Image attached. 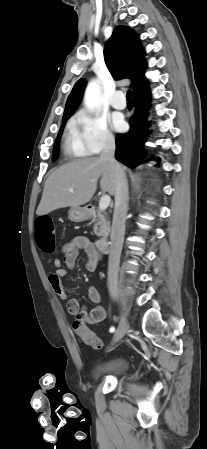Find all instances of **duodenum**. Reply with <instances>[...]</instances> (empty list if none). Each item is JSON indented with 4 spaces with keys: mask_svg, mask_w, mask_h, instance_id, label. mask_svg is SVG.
<instances>
[{
    "mask_svg": "<svg viewBox=\"0 0 207 449\" xmlns=\"http://www.w3.org/2000/svg\"><path fill=\"white\" fill-rule=\"evenodd\" d=\"M96 245L102 253H106L110 249V241L106 237L97 240Z\"/></svg>",
    "mask_w": 207,
    "mask_h": 449,
    "instance_id": "410a0bca",
    "label": "duodenum"
}]
</instances>
